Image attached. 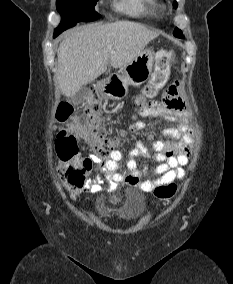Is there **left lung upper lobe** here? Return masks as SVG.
I'll return each instance as SVG.
<instances>
[{"mask_svg":"<svg viewBox=\"0 0 233 284\" xmlns=\"http://www.w3.org/2000/svg\"><path fill=\"white\" fill-rule=\"evenodd\" d=\"M173 6L174 7H177V2H174L173 3ZM176 37H179V38H184L183 34H182V31L178 28L175 29L174 33H173Z\"/></svg>","mask_w":233,"mask_h":284,"instance_id":"obj_1","label":"left lung upper lobe"}]
</instances>
